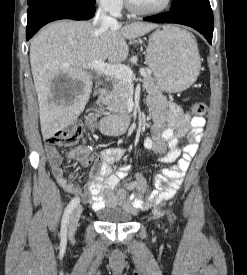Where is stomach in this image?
I'll return each mask as SVG.
<instances>
[{
  "mask_svg": "<svg viewBox=\"0 0 247 275\" xmlns=\"http://www.w3.org/2000/svg\"><path fill=\"white\" fill-rule=\"evenodd\" d=\"M145 57L158 88L164 92H181L199 75L198 49L188 33L176 26H164L152 33Z\"/></svg>",
  "mask_w": 247,
  "mask_h": 275,
  "instance_id": "0dacf381",
  "label": "stomach"
}]
</instances>
